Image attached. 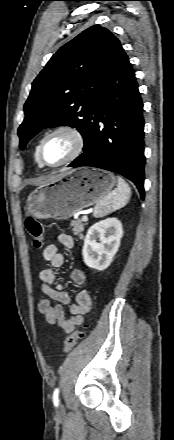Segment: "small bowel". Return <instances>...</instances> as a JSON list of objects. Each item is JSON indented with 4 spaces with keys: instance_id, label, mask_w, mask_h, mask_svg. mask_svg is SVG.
I'll return each mask as SVG.
<instances>
[{
    "instance_id": "c3829d8e",
    "label": "small bowel",
    "mask_w": 174,
    "mask_h": 440,
    "mask_svg": "<svg viewBox=\"0 0 174 440\" xmlns=\"http://www.w3.org/2000/svg\"><path fill=\"white\" fill-rule=\"evenodd\" d=\"M58 241L68 249L74 247L73 238L68 234H60ZM42 257L52 268H60L64 264V256L54 244L47 245L43 249ZM52 268H45L39 274L44 297L38 304V310L49 324L56 325L62 331L70 333L83 323L84 315L91 308V297L87 290H81L76 296V303L73 304L63 283L56 277ZM69 279L74 284L82 285L86 282V275L81 269L74 268L69 274ZM64 305H69L68 318L63 308Z\"/></svg>"
}]
</instances>
